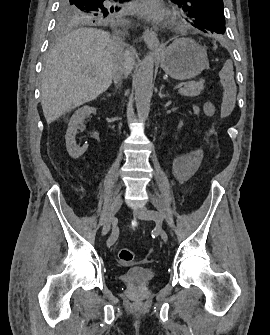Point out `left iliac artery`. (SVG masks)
<instances>
[{"instance_id":"left-iliac-artery-1","label":"left iliac artery","mask_w":270,"mask_h":335,"mask_svg":"<svg viewBox=\"0 0 270 335\" xmlns=\"http://www.w3.org/2000/svg\"><path fill=\"white\" fill-rule=\"evenodd\" d=\"M149 214L157 222H162L163 219H164L163 216L160 213H158L157 211L151 210V211H149ZM169 226L172 227L173 225L171 223H169ZM170 232L172 234V231H170Z\"/></svg>"}]
</instances>
